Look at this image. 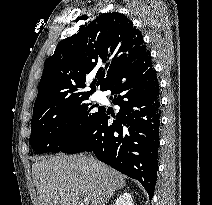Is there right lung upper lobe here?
<instances>
[{
    "instance_id": "1",
    "label": "right lung upper lobe",
    "mask_w": 212,
    "mask_h": 205,
    "mask_svg": "<svg viewBox=\"0 0 212 205\" xmlns=\"http://www.w3.org/2000/svg\"><path fill=\"white\" fill-rule=\"evenodd\" d=\"M146 51L141 32L125 15L101 14L57 45L45 63L33 110L66 105L90 96L95 86L91 85L88 92L81 88L97 68V86L103 91L124 66Z\"/></svg>"
}]
</instances>
